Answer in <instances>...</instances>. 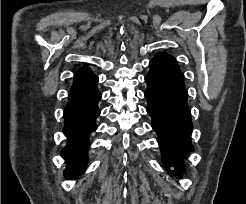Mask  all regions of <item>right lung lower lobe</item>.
I'll return each mask as SVG.
<instances>
[{
  "label": "right lung lower lobe",
  "mask_w": 246,
  "mask_h": 204,
  "mask_svg": "<svg viewBox=\"0 0 246 204\" xmlns=\"http://www.w3.org/2000/svg\"><path fill=\"white\" fill-rule=\"evenodd\" d=\"M98 77L88 68L79 70L74 77V83L69 94V101L64 111V134L68 144L62 149L67 167L66 177H77L87 163V148L89 135L97 129L95 120L100 114L98 101L101 94L97 89Z\"/></svg>",
  "instance_id": "1"
}]
</instances>
